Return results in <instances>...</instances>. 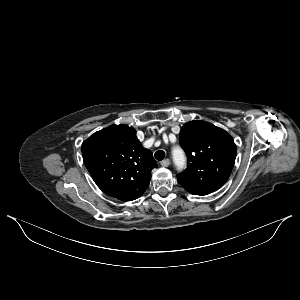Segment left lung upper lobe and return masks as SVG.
Returning a JSON list of instances; mask_svg holds the SVG:
<instances>
[{"mask_svg": "<svg viewBox=\"0 0 300 300\" xmlns=\"http://www.w3.org/2000/svg\"><path fill=\"white\" fill-rule=\"evenodd\" d=\"M180 145L188 158L177 180L194 195H207L228 180L236 158L233 138L223 129L203 121H190L180 131Z\"/></svg>", "mask_w": 300, "mask_h": 300, "instance_id": "1", "label": "left lung upper lobe"}]
</instances>
